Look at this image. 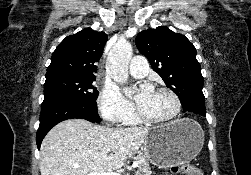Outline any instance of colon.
<instances>
[{
    "label": "colon",
    "mask_w": 251,
    "mask_h": 175,
    "mask_svg": "<svg viewBox=\"0 0 251 175\" xmlns=\"http://www.w3.org/2000/svg\"><path fill=\"white\" fill-rule=\"evenodd\" d=\"M171 171L182 175H202L201 169L192 163L175 165L171 168Z\"/></svg>",
    "instance_id": "colon-1"
}]
</instances>
